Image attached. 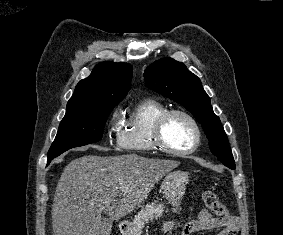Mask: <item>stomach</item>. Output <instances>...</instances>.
<instances>
[{"mask_svg":"<svg viewBox=\"0 0 283 235\" xmlns=\"http://www.w3.org/2000/svg\"><path fill=\"white\" fill-rule=\"evenodd\" d=\"M188 182V174L181 170L168 172L164 176L160 190L167 201L173 206L174 211H177L179 208ZM120 231L122 235H139L131 222L126 223L122 228H120Z\"/></svg>","mask_w":283,"mask_h":235,"instance_id":"1","label":"stomach"}]
</instances>
